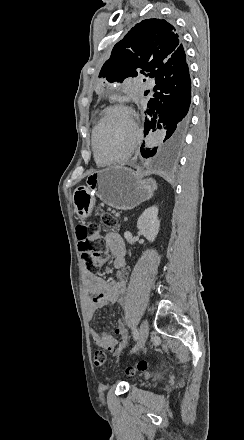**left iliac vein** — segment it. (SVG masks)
Wrapping results in <instances>:
<instances>
[{"instance_id": "left-iliac-vein-1", "label": "left iliac vein", "mask_w": 244, "mask_h": 440, "mask_svg": "<svg viewBox=\"0 0 244 440\" xmlns=\"http://www.w3.org/2000/svg\"><path fill=\"white\" fill-rule=\"evenodd\" d=\"M148 333H149L148 324L146 321H143L140 325V328H139V334H138L136 345L132 348L131 353L140 350L144 346V344L148 338Z\"/></svg>"}]
</instances>
